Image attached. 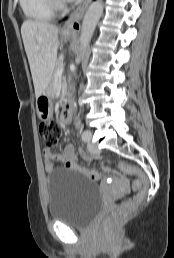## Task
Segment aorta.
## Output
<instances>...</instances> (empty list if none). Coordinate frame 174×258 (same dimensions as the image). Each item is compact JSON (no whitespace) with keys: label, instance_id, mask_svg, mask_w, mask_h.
I'll return each instance as SVG.
<instances>
[{"label":"aorta","instance_id":"obj_1","mask_svg":"<svg viewBox=\"0 0 174 258\" xmlns=\"http://www.w3.org/2000/svg\"><path fill=\"white\" fill-rule=\"evenodd\" d=\"M104 5L102 0L94 1L87 9L81 27L80 33V56L79 59L84 56L86 50L89 46V43L94 34L96 25L103 14ZM74 109H76V102L73 103Z\"/></svg>","mask_w":174,"mask_h":258}]
</instances>
